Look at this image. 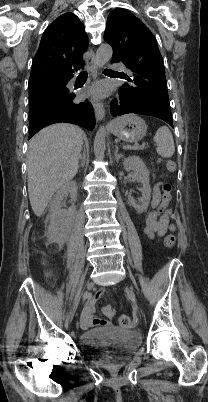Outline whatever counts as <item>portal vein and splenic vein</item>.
<instances>
[{"mask_svg": "<svg viewBox=\"0 0 208 402\" xmlns=\"http://www.w3.org/2000/svg\"><path fill=\"white\" fill-rule=\"evenodd\" d=\"M145 144H131L130 146H124V150H138V149H145Z\"/></svg>", "mask_w": 208, "mask_h": 402, "instance_id": "obj_1", "label": "portal vein and splenic vein"}]
</instances>
